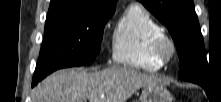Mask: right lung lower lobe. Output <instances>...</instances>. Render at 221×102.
Here are the masks:
<instances>
[{
    "label": "right lung lower lobe",
    "mask_w": 221,
    "mask_h": 102,
    "mask_svg": "<svg viewBox=\"0 0 221 102\" xmlns=\"http://www.w3.org/2000/svg\"><path fill=\"white\" fill-rule=\"evenodd\" d=\"M39 81L40 79H33L32 86L34 87Z\"/></svg>",
    "instance_id": "98d812e1"
}]
</instances>
